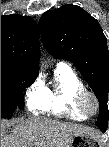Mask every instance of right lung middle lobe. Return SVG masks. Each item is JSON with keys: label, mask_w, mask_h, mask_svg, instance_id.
I'll return each instance as SVG.
<instances>
[{"label": "right lung middle lobe", "mask_w": 109, "mask_h": 147, "mask_svg": "<svg viewBox=\"0 0 109 147\" xmlns=\"http://www.w3.org/2000/svg\"><path fill=\"white\" fill-rule=\"evenodd\" d=\"M36 76L21 66L1 63V118L10 119L17 106L23 109V87L32 83Z\"/></svg>", "instance_id": "1"}]
</instances>
